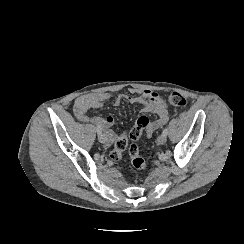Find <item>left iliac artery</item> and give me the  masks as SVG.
<instances>
[{
    "mask_svg": "<svg viewBox=\"0 0 244 244\" xmlns=\"http://www.w3.org/2000/svg\"><path fill=\"white\" fill-rule=\"evenodd\" d=\"M162 134L167 135L168 134V128H165L162 132Z\"/></svg>",
    "mask_w": 244,
    "mask_h": 244,
    "instance_id": "left-iliac-artery-1",
    "label": "left iliac artery"
}]
</instances>
